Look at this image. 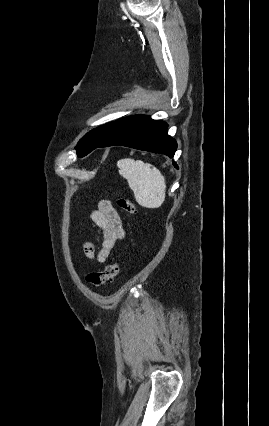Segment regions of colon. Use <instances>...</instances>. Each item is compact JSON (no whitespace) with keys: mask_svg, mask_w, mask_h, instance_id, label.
Instances as JSON below:
<instances>
[{"mask_svg":"<svg viewBox=\"0 0 269 426\" xmlns=\"http://www.w3.org/2000/svg\"><path fill=\"white\" fill-rule=\"evenodd\" d=\"M118 207L127 214H134L136 211L135 203L129 198H119ZM122 262L108 264L102 270L92 271L86 275V281L93 287H101L111 282L120 272Z\"/></svg>","mask_w":269,"mask_h":426,"instance_id":"colon-1","label":"colon"}]
</instances>
